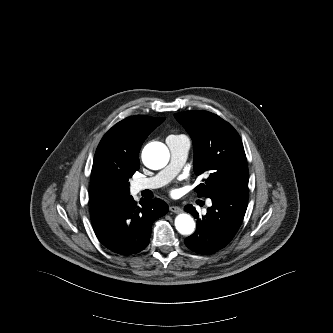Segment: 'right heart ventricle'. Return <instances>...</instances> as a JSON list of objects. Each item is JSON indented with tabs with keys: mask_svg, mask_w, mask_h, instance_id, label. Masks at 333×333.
I'll return each mask as SVG.
<instances>
[{
	"mask_svg": "<svg viewBox=\"0 0 333 333\" xmlns=\"http://www.w3.org/2000/svg\"><path fill=\"white\" fill-rule=\"evenodd\" d=\"M170 137L178 138V137H184V136H182V135H172V136H170Z\"/></svg>",
	"mask_w": 333,
	"mask_h": 333,
	"instance_id": "obj_1",
	"label": "right heart ventricle"
}]
</instances>
